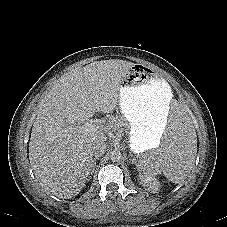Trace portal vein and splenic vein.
Listing matches in <instances>:
<instances>
[{
    "label": "portal vein and splenic vein",
    "mask_w": 227,
    "mask_h": 227,
    "mask_svg": "<svg viewBox=\"0 0 227 227\" xmlns=\"http://www.w3.org/2000/svg\"><path fill=\"white\" fill-rule=\"evenodd\" d=\"M97 128H98V125L92 119L88 120L83 125L77 126V129L80 132H92V131H96Z\"/></svg>",
    "instance_id": "18ae733b"
}]
</instances>
